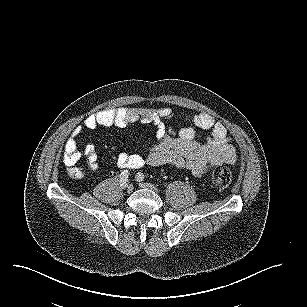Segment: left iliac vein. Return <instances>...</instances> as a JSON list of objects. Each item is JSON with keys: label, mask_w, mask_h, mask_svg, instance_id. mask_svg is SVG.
<instances>
[{"label": "left iliac vein", "mask_w": 307, "mask_h": 307, "mask_svg": "<svg viewBox=\"0 0 307 307\" xmlns=\"http://www.w3.org/2000/svg\"><path fill=\"white\" fill-rule=\"evenodd\" d=\"M139 186L141 188L151 189V190H154V191L157 190L156 187L153 184H150V183H139Z\"/></svg>", "instance_id": "1"}]
</instances>
